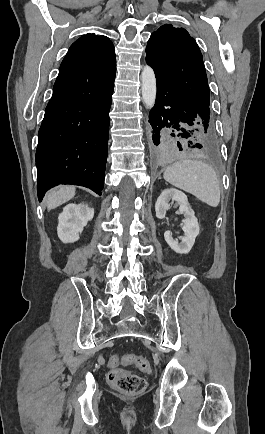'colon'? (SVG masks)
<instances>
[{
    "label": "colon",
    "instance_id": "colon-1",
    "mask_svg": "<svg viewBox=\"0 0 265 434\" xmlns=\"http://www.w3.org/2000/svg\"><path fill=\"white\" fill-rule=\"evenodd\" d=\"M120 364H133L141 371L149 373L152 370L149 361L135 355L113 356L108 360L110 370L106 375V379L113 389L127 393L143 392L146 388V381L137 374L118 368Z\"/></svg>",
    "mask_w": 265,
    "mask_h": 434
}]
</instances>
